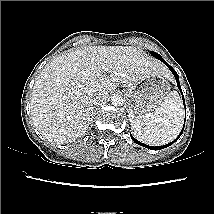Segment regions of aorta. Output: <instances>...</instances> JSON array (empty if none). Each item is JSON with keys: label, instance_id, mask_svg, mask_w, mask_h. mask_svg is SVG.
Masks as SVG:
<instances>
[{"label": "aorta", "instance_id": "aorta-1", "mask_svg": "<svg viewBox=\"0 0 214 214\" xmlns=\"http://www.w3.org/2000/svg\"><path fill=\"white\" fill-rule=\"evenodd\" d=\"M123 97L121 95H114L112 98H111V103L113 106L115 107H119L123 104Z\"/></svg>", "mask_w": 214, "mask_h": 214}]
</instances>
